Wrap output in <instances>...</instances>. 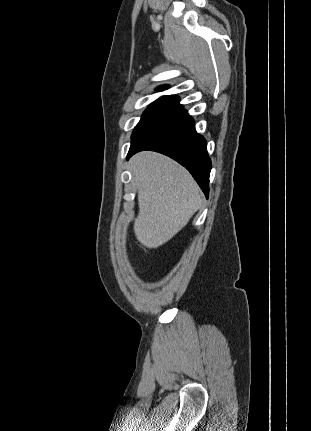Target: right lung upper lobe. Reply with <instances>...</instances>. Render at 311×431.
I'll list each match as a JSON object with an SVG mask.
<instances>
[{
  "instance_id": "right-lung-upper-lobe-1",
  "label": "right lung upper lobe",
  "mask_w": 311,
  "mask_h": 431,
  "mask_svg": "<svg viewBox=\"0 0 311 431\" xmlns=\"http://www.w3.org/2000/svg\"><path fill=\"white\" fill-rule=\"evenodd\" d=\"M168 87H169L168 85L160 86V87H158V88H157V91L165 90V89H167Z\"/></svg>"
}]
</instances>
